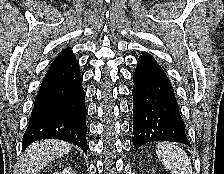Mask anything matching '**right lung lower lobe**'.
<instances>
[{
  "label": "right lung lower lobe",
  "mask_w": 224,
  "mask_h": 174,
  "mask_svg": "<svg viewBox=\"0 0 224 174\" xmlns=\"http://www.w3.org/2000/svg\"><path fill=\"white\" fill-rule=\"evenodd\" d=\"M72 52L58 56L47 71L35 98L23 150L40 139H61L87 153L85 94Z\"/></svg>",
  "instance_id": "1"
}]
</instances>
